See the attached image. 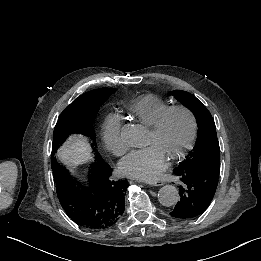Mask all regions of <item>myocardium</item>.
I'll return each instance as SVG.
<instances>
[{"label": "myocardium", "mask_w": 261, "mask_h": 261, "mask_svg": "<svg viewBox=\"0 0 261 261\" xmlns=\"http://www.w3.org/2000/svg\"><path fill=\"white\" fill-rule=\"evenodd\" d=\"M174 112L184 113L189 118L191 128L189 137L183 145V147L179 151L170 155V157L168 158L170 162L179 160L186 156V154L192 149V147L196 143L199 131L198 119L194 111L191 110L189 107L180 104L170 105L169 107L164 109L161 113L158 114V116L154 119L153 122L148 124V127L153 131H158L164 124L167 117Z\"/></svg>", "instance_id": "myocardium-1"}]
</instances>
